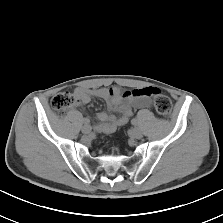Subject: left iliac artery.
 <instances>
[{
	"label": "left iliac artery",
	"instance_id": "1",
	"mask_svg": "<svg viewBox=\"0 0 223 223\" xmlns=\"http://www.w3.org/2000/svg\"><path fill=\"white\" fill-rule=\"evenodd\" d=\"M131 123H132L133 125H135V126L138 125V121H137V119H132V120H131Z\"/></svg>",
	"mask_w": 223,
	"mask_h": 223
}]
</instances>
